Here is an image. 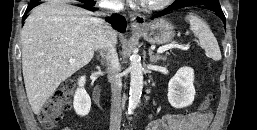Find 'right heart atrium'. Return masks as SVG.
<instances>
[{
	"instance_id": "obj_1",
	"label": "right heart atrium",
	"mask_w": 257,
	"mask_h": 130,
	"mask_svg": "<svg viewBox=\"0 0 257 130\" xmlns=\"http://www.w3.org/2000/svg\"><path fill=\"white\" fill-rule=\"evenodd\" d=\"M107 2L112 6L120 5L122 0H107Z\"/></svg>"
}]
</instances>
